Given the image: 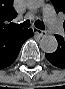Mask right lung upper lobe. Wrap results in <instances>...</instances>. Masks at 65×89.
I'll use <instances>...</instances> for the list:
<instances>
[{"label": "right lung upper lobe", "mask_w": 65, "mask_h": 89, "mask_svg": "<svg viewBox=\"0 0 65 89\" xmlns=\"http://www.w3.org/2000/svg\"><path fill=\"white\" fill-rule=\"evenodd\" d=\"M16 16L13 0H0V35L19 30L10 22Z\"/></svg>", "instance_id": "cb5924a9"}]
</instances>
